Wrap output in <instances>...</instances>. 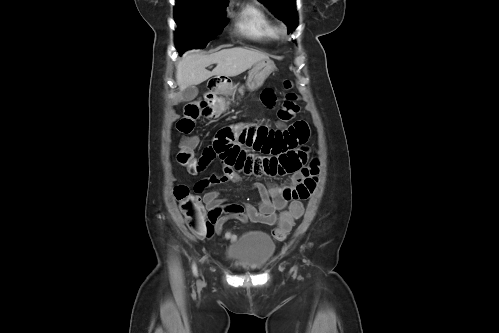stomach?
Wrapping results in <instances>:
<instances>
[{"label": "stomach", "mask_w": 499, "mask_h": 333, "mask_svg": "<svg viewBox=\"0 0 499 333\" xmlns=\"http://www.w3.org/2000/svg\"><path fill=\"white\" fill-rule=\"evenodd\" d=\"M275 68L274 62L270 59L262 60L254 64L248 75L246 83L247 88L251 91L260 88ZM233 89V84L226 79L217 83L215 87L216 92L222 95L233 94Z\"/></svg>", "instance_id": "obj_1"}]
</instances>
